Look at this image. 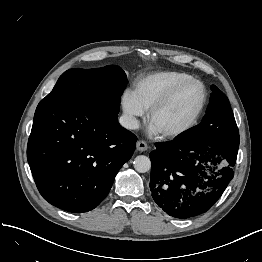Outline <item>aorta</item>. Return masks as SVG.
I'll return each mask as SVG.
<instances>
[{
	"instance_id": "762f6f07",
	"label": "aorta",
	"mask_w": 262,
	"mask_h": 262,
	"mask_svg": "<svg viewBox=\"0 0 262 262\" xmlns=\"http://www.w3.org/2000/svg\"><path fill=\"white\" fill-rule=\"evenodd\" d=\"M134 168L139 173H145L151 168V161L145 155H139L134 159Z\"/></svg>"
}]
</instances>
